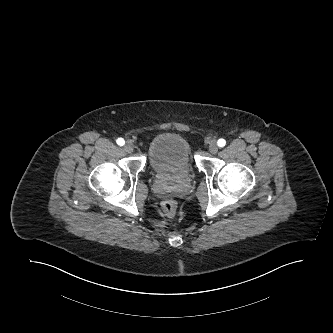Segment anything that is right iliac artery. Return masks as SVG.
<instances>
[{"label":"right iliac artery","mask_w":333,"mask_h":333,"mask_svg":"<svg viewBox=\"0 0 333 333\" xmlns=\"http://www.w3.org/2000/svg\"><path fill=\"white\" fill-rule=\"evenodd\" d=\"M116 142H117V144L120 145V146H123V145L125 144V141H124V139H122V138H118Z\"/></svg>","instance_id":"right-iliac-artery-1"}]
</instances>
